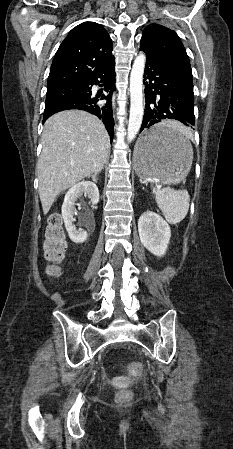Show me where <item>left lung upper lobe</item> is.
<instances>
[{"instance_id": "left-lung-upper-lobe-1", "label": "left lung upper lobe", "mask_w": 233, "mask_h": 449, "mask_svg": "<svg viewBox=\"0 0 233 449\" xmlns=\"http://www.w3.org/2000/svg\"><path fill=\"white\" fill-rule=\"evenodd\" d=\"M140 49L147 58L172 70L192 83L189 57L179 36L171 29L151 24L142 34Z\"/></svg>"}]
</instances>
